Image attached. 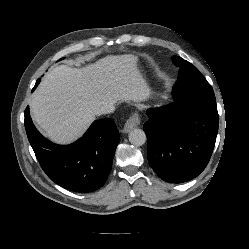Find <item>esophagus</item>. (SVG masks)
<instances>
[{
	"label": "esophagus",
	"instance_id": "esophagus-1",
	"mask_svg": "<svg viewBox=\"0 0 249 249\" xmlns=\"http://www.w3.org/2000/svg\"><path fill=\"white\" fill-rule=\"evenodd\" d=\"M140 124V118L137 113L132 114V116L129 117V119L126 121L123 132L128 133L132 129L136 128Z\"/></svg>",
	"mask_w": 249,
	"mask_h": 249
}]
</instances>
